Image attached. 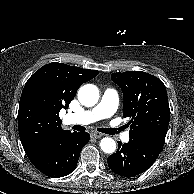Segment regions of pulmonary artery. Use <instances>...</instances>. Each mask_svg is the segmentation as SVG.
Returning a JSON list of instances; mask_svg holds the SVG:
<instances>
[{
  "label": "pulmonary artery",
  "instance_id": "1",
  "mask_svg": "<svg viewBox=\"0 0 194 194\" xmlns=\"http://www.w3.org/2000/svg\"><path fill=\"white\" fill-rule=\"evenodd\" d=\"M118 107V94L113 89L104 91L100 103L93 109L82 111L77 114H68L66 122L68 124L78 123L82 125L90 124L98 120L111 117ZM129 134L122 135V140L128 142Z\"/></svg>",
  "mask_w": 194,
  "mask_h": 194
}]
</instances>
